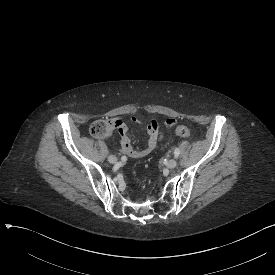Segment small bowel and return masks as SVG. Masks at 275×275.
I'll return each mask as SVG.
<instances>
[{"label": "small bowel", "mask_w": 275, "mask_h": 275, "mask_svg": "<svg viewBox=\"0 0 275 275\" xmlns=\"http://www.w3.org/2000/svg\"><path fill=\"white\" fill-rule=\"evenodd\" d=\"M113 125L115 127H118L117 133L119 136H121L120 143L121 147L124 151L125 154H127L129 157L138 159L147 156L154 150H156L161 142V136L160 133L153 129V128H159L160 127V122L159 121H153L152 122V127L149 126L147 129V143L143 148H134L133 144L131 142V139L129 136H127L128 130L126 127L123 126V119L121 117H114L113 118ZM131 122L132 123H137L138 122V117L137 116H132L131 117ZM167 125L169 127L174 126L175 121L174 120H168Z\"/></svg>", "instance_id": "c3829d8e"}]
</instances>
